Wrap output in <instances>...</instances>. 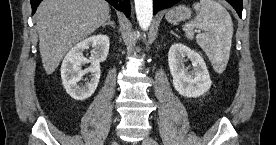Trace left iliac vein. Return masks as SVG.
Here are the masks:
<instances>
[{"instance_id": "4c4485c4", "label": "left iliac vein", "mask_w": 276, "mask_h": 145, "mask_svg": "<svg viewBox=\"0 0 276 145\" xmlns=\"http://www.w3.org/2000/svg\"><path fill=\"white\" fill-rule=\"evenodd\" d=\"M143 144L144 145H158V143L156 142V140H154L151 137H147L143 140Z\"/></svg>"}]
</instances>
